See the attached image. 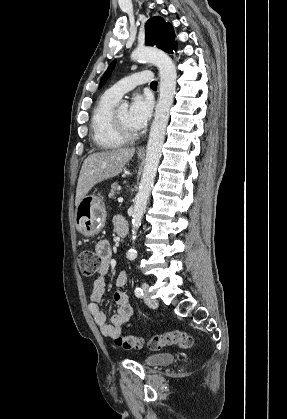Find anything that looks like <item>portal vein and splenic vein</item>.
Masks as SVG:
<instances>
[{"instance_id": "18ae733b", "label": "portal vein and splenic vein", "mask_w": 287, "mask_h": 419, "mask_svg": "<svg viewBox=\"0 0 287 419\" xmlns=\"http://www.w3.org/2000/svg\"><path fill=\"white\" fill-rule=\"evenodd\" d=\"M118 202H120V203L123 202V198L122 197H119L118 198Z\"/></svg>"}]
</instances>
